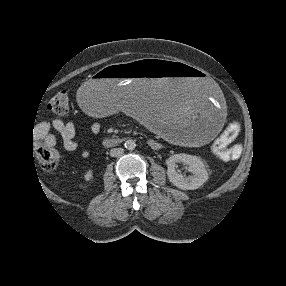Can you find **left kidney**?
<instances>
[{"label":"left kidney","instance_id":"left-kidney-1","mask_svg":"<svg viewBox=\"0 0 286 286\" xmlns=\"http://www.w3.org/2000/svg\"><path fill=\"white\" fill-rule=\"evenodd\" d=\"M183 163L188 166L192 175L184 177L176 171L177 164ZM168 167L167 175L171 183L181 190H195L208 180V173L202 160L189 154H175L166 160Z\"/></svg>","mask_w":286,"mask_h":286}]
</instances>
